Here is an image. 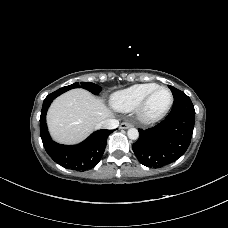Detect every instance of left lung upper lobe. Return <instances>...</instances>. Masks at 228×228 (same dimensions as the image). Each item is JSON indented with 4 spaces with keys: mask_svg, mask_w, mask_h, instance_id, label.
I'll return each instance as SVG.
<instances>
[{
    "mask_svg": "<svg viewBox=\"0 0 228 228\" xmlns=\"http://www.w3.org/2000/svg\"><path fill=\"white\" fill-rule=\"evenodd\" d=\"M169 88H170V90L172 91V94H173V97H174V98H178V97H180L181 95L185 94L184 92H182V91H180V90L174 88L173 86H170V85H169Z\"/></svg>",
    "mask_w": 228,
    "mask_h": 228,
    "instance_id": "5c2ea615",
    "label": "left lung upper lobe"
}]
</instances>
